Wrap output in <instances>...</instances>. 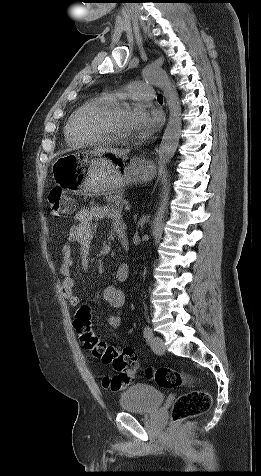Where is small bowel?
<instances>
[{
	"mask_svg": "<svg viewBox=\"0 0 261 476\" xmlns=\"http://www.w3.org/2000/svg\"><path fill=\"white\" fill-rule=\"evenodd\" d=\"M103 219L112 220L116 232L118 229H124L120 213L116 209L109 206L82 208L75 214L76 223L71 226L67 235V241L61 248L62 262L60 273L63 276L62 293L73 307L79 306L80 299L74 294L75 279L72 275V244L78 246L80 267L82 271H86L90 264V250L97 229V222ZM115 276L118 281H125L128 277V267L126 265L118 267ZM103 299L108 307L116 310L108 316L109 326L112 328L120 327L123 320V313L120 309L125 303L123 291L116 286H108L103 291Z\"/></svg>",
	"mask_w": 261,
	"mask_h": 476,
	"instance_id": "small-bowel-1",
	"label": "small bowel"
}]
</instances>
